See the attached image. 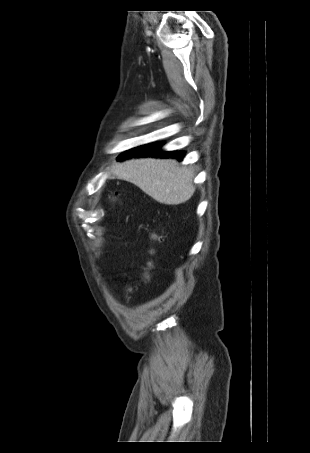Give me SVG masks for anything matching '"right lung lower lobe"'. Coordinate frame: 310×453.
<instances>
[{"label":"right lung lower lobe","instance_id":"98d812e1","mask_svg":"<svg viewBox=\"0 0 310 453\" xmlns=\"http://www.w3.org/2000/svg\"><path fill=\"white\" fill-rule=\"evenodd\" d=\"M162 143H152L148 145L139 146L133 149H130L120 155L117 160H125L132 157H141V156H154V157H171L177 158L178 160H182L185 152L183 151H174V152H162L160 151V147Z\"/></svg>","mask_w":310,"mask_h":453}]
</instances>
